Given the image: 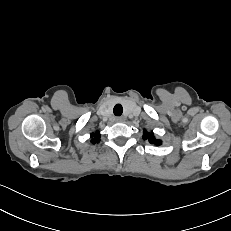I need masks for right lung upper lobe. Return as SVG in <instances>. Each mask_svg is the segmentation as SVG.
Here are the masks:
<instances>
[{"label": "right lung upper lobe", "instance_id": "obj_1", "mask_svg": "<svg viewBox=\"0 0 231 231\" xmlns=\"http://www.w3.org/2000/svg\"><path fill=\"white\" fill-rule=\"evenodd\" d=\"M91 138H92V140H91L92 143L99 142V140H100L99 132H96L95 134H91Z\"/></svg>", "mask_w": 231, "mask_h": 231}]
</instances>
